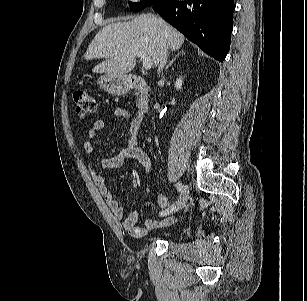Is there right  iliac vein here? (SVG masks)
<instances>
[{
	"label": "right iliac vein",
	"mask_w": 307,
	"mask_h": 301,
	"mask_svg": "<svg viewBox=\"0 0 307 301\" xmlns=\"http://www.w3.org/2000/svg\"><path fill=\"white\" fill-rule=\"evenodd\" d=\"M188 197H189V190H188V187L185 186L183 188V190L181 191L179 200L177 202V205L175 206V211H178V210L182 209L183 207H185V205L188 201Z\"/></svg>",
	"instance_id": "right-iliac-vein-1"
}]
</instances>
